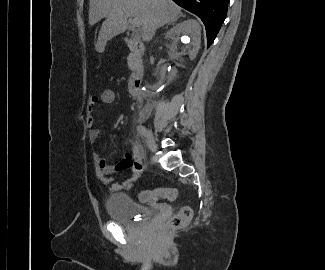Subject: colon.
Returning <instances> with one entry per match:
<instances>
[{
  "label": "colon",
  "instance_id": "1",
  "mask_svg": "<svg viewBox=\"0 0 325 270\" xmlns=\"http://www.w3.org/2000/svg\"><path fill=\"white\" fill-rule=\"evenodd\" d=\"M116 93L112 89H105L102 91L100 99L105 105H112L116 102ZM177 197V190L175 188L160 187L152 190L142 191L139 198L142 202L155 203L159 199H166L169 201L175 200ZM192 208L190 206H183L173 215L167 226L172 229H179L186 226L192 218Z\"/></svg>",
  "mask_w": 325,
  "mask_h": 270
}]
</instances>
